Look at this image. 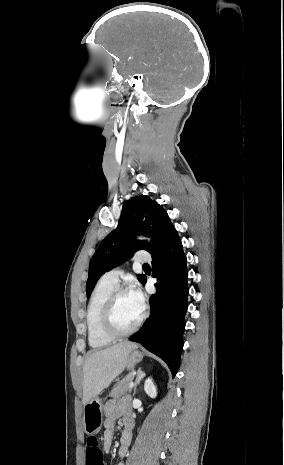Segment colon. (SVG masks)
<instances>
[{"label": "colon", "mask_w": 284, "mask_h": 465, "mask_svg": "<svg viewBox=\"0 0 284 465\" xmlns=\"http://www.w3.org/2000/svg\"><path fill=\"white\" fill-rule=\"evenodd\" d=\"M90 443L95 441L93 436L88 438ZM84 454L86 455V465H103L102 461V453L100 451L99 446H97L95 442V446H85L84 447Z\"/></svg>", "instance_id": "5ec220e1"}]
</instances>
